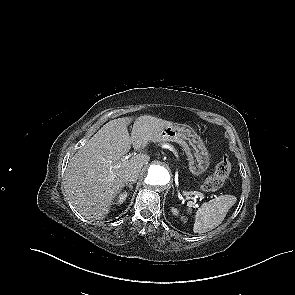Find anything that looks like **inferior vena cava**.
<instances>
[{
  "mask_svg": "<svg viewBox=\"0 0 295 295\" xmlns=\"http://www.w3.org/2000/svg\"><path fill=\"white\" fill-rule=\"evenodd\" d=\"M139 172L137 170H130L126 173V179L130 182H135L138 178Z\"/></svg>",
  "mask_w": 295,
  "mask_h": 295,
  "instance_id": "inferior-vena-cava-1",
  "label": "inferior vena cava"
}]
</instances>
